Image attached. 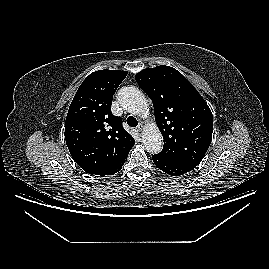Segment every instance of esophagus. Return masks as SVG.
<instances>
[{"instance_id":"obj_1","label":"esophagus","mask_w":269,"mask_h":269,"mask_svg":"<svg viewBox=\"0 0 269 269\" xmlns=\"http://www.w3.org/2000/svg\"><path fill=\"white\" fill-rule=\"evenodd\" d=\"M143 128H144L143 123H139V125L137 126L136 129H137L138 132H141L143 130Z\"/></svg>"}]
</instances>
